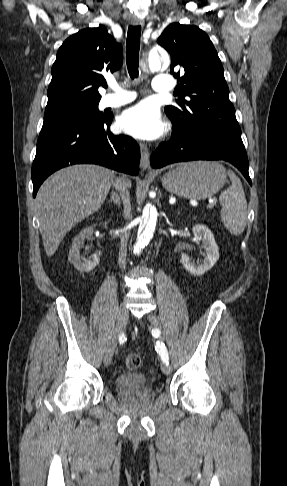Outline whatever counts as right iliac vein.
<instances>
[{"instance_id":"right-iliac-vein-1","label":"right iliac vein","mask_w":287,"mask_h":486,"mask_svg":"<svg viewBox=\"0 0 287 486\" xmlns=\"http://www.w3.org/2000/svg\"><path fill=\"white\" fill-rule=\"evenodd\" d=\"M128 316H129V313H128L127 308L125 307L124 304H121V306L119 308V312H118L117 324H116V327L113 331L111 340L109 342V345L107 347L105 357H104V363H105L106 366L111 363V360L113 358L114 351H115V348H116V345H117L118 337L120 336V334L125 329V326H126V323H127V320H128Z\"/></svg>"}]
</instances>
